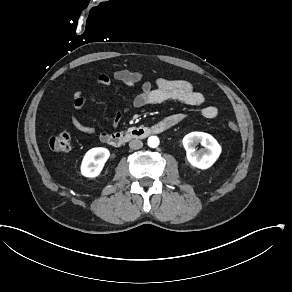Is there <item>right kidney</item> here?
Listing matches in <instances>:
<instances>
[{
  "label": "right kidney",
  "mask_w": 292,
  "mask_h": 292,
  "mask_svg": "<svg viewBox=\"0 0 292 292\" xmlns=\"http://www.w3.org/2000/svg\"><path fill=\"white\" fill-rule=\"evenodd\" d=\"M110 157V151L104 147H94L86 152L81 165L80 173L87 178L98 177Z\"/></svg>",
  "instance_id": "ca27d5eb"
}]
</instances>
